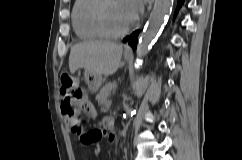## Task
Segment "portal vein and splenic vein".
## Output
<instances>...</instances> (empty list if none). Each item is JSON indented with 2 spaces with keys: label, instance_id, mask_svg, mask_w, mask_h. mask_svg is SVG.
Here are the masks:
<instances>
[{
  "label": "portal vein and splenic vein",
  "instance_id": "portal-vein-and-splenic-vein-1",
  "mask_svg": "<svg viewBox=\"0 0 242 160\" xmlns=\"http://www.w3.org/2000/svg\"><path fill=\"white\" fill-rule=\"evenodd\" d=\"M106 104L107 106H110L112 104V100L110 99Z\"/></svg>",
  "mask_w": 242,
  "mask_h": 160
}]
</instances>
